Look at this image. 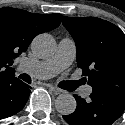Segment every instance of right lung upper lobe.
Instances as JSON below:
<instances>
[{
    "label": "right lung upper lobe",
    "mask_w": 125,
    "mask_h": 125,
    "mask_svg": "<svg viewBox=\"0 0 125 125\" xmlns=\"http://www.w3.org/2000/svg\"><path fill=\"white\" fill-rule=\"evenodd\" d=\"M61 18V14L0 8V80L14 77L13 60L26 51L36 35L58 27Z\"/></svg>",
    "instance_id": "obj_1"
}]
</instances>
